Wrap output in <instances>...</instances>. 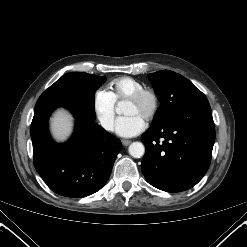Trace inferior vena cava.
Instances as JSON below:
<instances>
[{"mask_svg":"<svg viewBox=\"0 0 247 247\" xmlns=\"http://www.w3.org/2000/svg\"><path fill=\"white\" fill-rule=\"evenodd\" d=\"M101 125L104 129L113 131L114 130V121L113 119H102Z\"/></svg>","mask_w":247,"mask_h":247,"instance_id":"obj_1","label":"inferior vena cava"}]
</instances>
